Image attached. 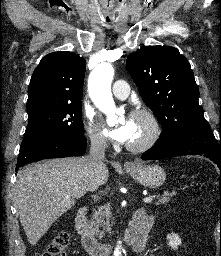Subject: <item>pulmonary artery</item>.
<instances>
[{"label":"pulmonary artery","mask_w":221,"mask_h":256,"mask_svg":"<svg viewBox=\"0 0 221 256\" xmlns=\"http://www.w3.org/2000/svg\"><path fill=\"white\" fill-rule=\"evenodd\" d=\"M113 95L118 99H126L129 95V85L124 80H117L112 87Z\"/></svg>","instance_id":"obj_1"}]
</instances>
